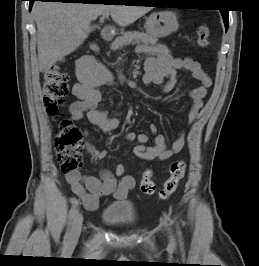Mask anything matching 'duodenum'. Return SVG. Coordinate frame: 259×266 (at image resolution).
Returning <instances> with one entry per match:
<instances>
[{
	"instance_id": "1",
	"label": "duodenum",
	"mask_w": 259,
	"mask_h": 266,
	"mask_svg": "<svg viewBox=\"0 0 259 266\" xmlns=\"http://www.w3.org/2000/svg\"><path fill=\"white\" fill-rule=\"evenodd\" d=\"M114 32L110 27H105L101 31V37L103 40H110L113 38Z\"/></svg>"
}]
</instances>
